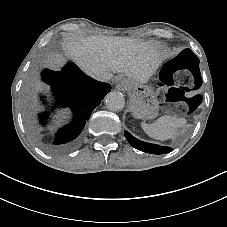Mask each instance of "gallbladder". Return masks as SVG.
<instances>
[{
  "label": "gallbladder",
  "instance_id": "1",
  "mask_svg": "<svg viewBox=\"0 0 227 227\" xmlns=\"http://www.w3.org/2000/svg\"><path fill=\"white\" fill-rule=\"evenodd\" d=\"M27 95H28V96H30V89H28V91H27Z\"/></svg>",
  "mask_w": 227,
  "mask_h": 227
}]
</instances>
